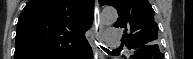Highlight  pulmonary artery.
<instances>
[{"label":"pulmonary artery","mask_w":193,"mask_h":59,"mask_svg":"<svg viewBox=\"0 0 193 59\" xmlns=\"http://www.w3.org/2000/svg\"><path fill=\"white\" fill-rule=\"evenodd\" d=\"M108 43L112 46L119 45L120 44V38L116 35L113 34L112 30L109 29L106 33Z\"/></svg>","instance_id":"e3ab8cb5"}]
</instances>
